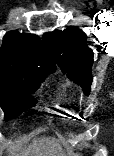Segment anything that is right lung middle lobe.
<instances>
[{
  "instance_id": "right-lung-middle-lobe-1",
  "label": "right lung middle lobe",
  "mask_w": 114,
  "mask_h": 156,
  "mask_svg": "<svg viewBox=\"0 0 114 156\" xmlns=\"http://www.w3.org/2000/svg\"><path fill=\"white\" fill-rule=\"evenodd\" d=\"M46 76H24L20 78H0V106L5 119L15 118L35 105L34 93Z\"/></svg>"
}]
</instances>
